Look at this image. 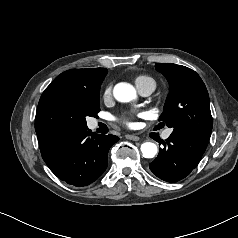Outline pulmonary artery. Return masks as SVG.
<instances>
[{"label":"pulmonary artery","instance_id":"e3ab8cb5","mask_svg":"<svg viewBox=\"0 0 238 238\" xmlns=\"http://www.w3.org/2000/svg\"><path fill=\"white\" fill-rule=\"evenodd\" d=\"M154 87L153 86H146L143 87L141 89H139V92L143 95V96H147L150 95L153 91H154ZM171 134V130H166L163 134V138L167 139Z\"/></svg>","mask_w":238,"mask_h":238}]
</instances>
